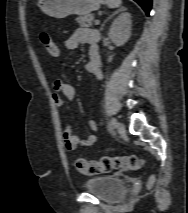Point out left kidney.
<instances>
[{"label": "left kidney", "mask_w": 188, "mask_h": 213, "mask_svg": "<svg viewBox=\"0 0 188 213\" xmlns=\"http://www.w3.org/2000/svg\"><path fill=\"white\" fill-rule=\"evenodd\" d=\"M131 14L122 13L112 23L109 30V38L117 46H123L131 36Z\"/></svg>", "instance_id": "left-kidney-1"}]
</instances>
